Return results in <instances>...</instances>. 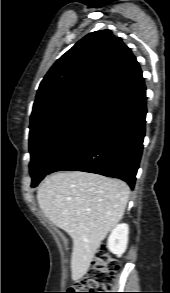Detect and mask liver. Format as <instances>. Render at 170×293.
<instances>
[{"label": "liver", "instance_id": "1", "mask_svg": "<svg viewBox=\"0 0 170 293\" xmlns=\"http://www.w3.org/2000/svg\"><path fill=\"white\" fill-rule=\"evenodd\" d=\"M129 194L122 180L80 171L52 174L39 187V207L73 240L72 280L87 273L102 240L123 217Z\"/></svg>", "mask_w": 170, "mask_h": 293}]
</instances>
